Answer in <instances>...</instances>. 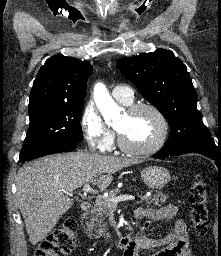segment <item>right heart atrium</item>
<instances>
[{
  "label": "right heart atrium",
  "instance_id": "1",
  "mask_svg": "<svg viewBox=\"0 0 221 256\" xmlns=\"http://www.w3.org/2000/svg\"><path fill=\"white\" fill-rule=\"evenodd\" d=\"M80 125L89 145L98 150H108L114 142L113 131L104 123L93 102H88L82 110Z\"/></svg>",
  "mask_w": 221,
  "mask_h": 256
}]
</instances>
